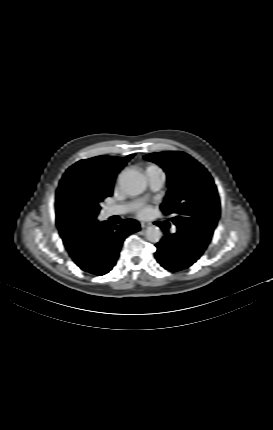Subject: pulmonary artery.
<instances>
[{"label":"pulmonary artery","mask_w":273,"mask_h":430,"mask_svg":"<svg viewBox=\"0 0 273 430\" xmlns=\"http://www.w3.org/2000/svg\"><path fill=\"white\" fill-rule=\"evenodd\" d=\"M146 177L151 191L153 192L158 191L163 186L165 175L160 168L157 167V168H152L147 170ZM132 207H135V206H129L126 204L110 206L105 209V215L109 217V216L124 214L127 211H129ZM176 231H177V228L173 226L172 232H176Z\"/></svg>","instance_id":"1"}]
</instances>
